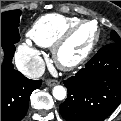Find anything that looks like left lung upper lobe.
Wrapping results in <instances>:
<instances>
[{
    "mask_svg": "<svg viewBox=\"0 0 121 121\" xmlns=\"http://www.w3.org/2000/svg\"><path fill=\"white\" fill-rule=\"evenodd\" d=\"M121 43V39L115 31L111 32V43Z\"/></svg>",
    "mask_w": 121,
    "mask_h": 121,
    "instance_id": "obj_1",
    "label": "left lung upper lobe"
}]
</instances>
